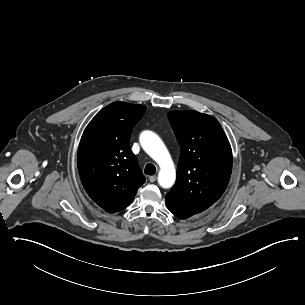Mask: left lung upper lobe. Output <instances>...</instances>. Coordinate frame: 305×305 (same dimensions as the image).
I'll return each mask as SVG.
<instances>
[{
	"mask_svg": "<svg viewBox=\"0 0 305 305\" xmlns=\"http://www.w3.org/2000/svg\"><path fill=\"white\" fill-rule=\"evenodd\" d=\"M181 155L175 185L166 202L200 213L227 188L232 171L230 143L219 122L197 111H170Z\"/></svg>",
	"mask_w": 305,
	"mask_h": 305,
	"instance_id": "1",
	"label": "left lung upper lobe"
}]
</instances>
